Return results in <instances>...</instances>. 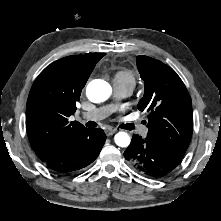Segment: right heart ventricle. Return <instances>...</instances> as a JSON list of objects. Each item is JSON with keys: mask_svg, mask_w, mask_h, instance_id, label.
<instances>
[{"mask_svg": "<svg viewBox=\"0 0 221 221\" xmlns=\"http://www.w3.org/2000/svg\"><path fill=\"white\" fill-rule=\"evenodd\" d=\"M114 83L117 84H128L135 86V78L132 72L128 70H120L115 73Z\"/></svg>", "mask_w": 221, "mask_h": 221, "instance_id": "right-heart-ventricle-1", "label": "right heart ventricle"}]
</instances>
